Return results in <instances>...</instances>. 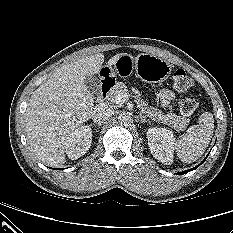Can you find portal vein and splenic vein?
<instances>
[{"instance_id":"1","label":"portal vein and splenic vein","mask_w":233,"mask_h":233,"mask_svg":"<svg viewBox=\"0 0 233 233\" xmlns=\"http://www.w3.org/2000/svg\"><path fill=\"white\" fill-rule=\"evenodd\" d=\"M127 97H128V95H126V94H119L117 96L116 103H118V104L124 103ZM192 129H193V127L187 129V132H191Z\"/></svg>"}]
</instances>
